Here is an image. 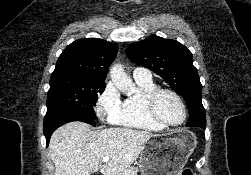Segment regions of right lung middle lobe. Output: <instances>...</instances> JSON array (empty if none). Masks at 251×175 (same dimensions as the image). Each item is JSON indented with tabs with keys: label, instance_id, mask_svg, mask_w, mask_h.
<instances>
[{
	"label": "right lung middle lobe",
	"instance_id": "right-lung-middle-lobe-1",
	"mask_svg": "<svg viewBox=\"0 0 251 175\" xmlns=\"http://www.w3.org/2000/svg\"><path fill=\"white\" fill-rule=\"evenodd\" d=\"M105 86L50 79L45 117L58 114H81L91 120L96 119L94 106Z\"/></svg>",
	"mask_w": 251,
	"mask_h": 175
}]
</instances>
